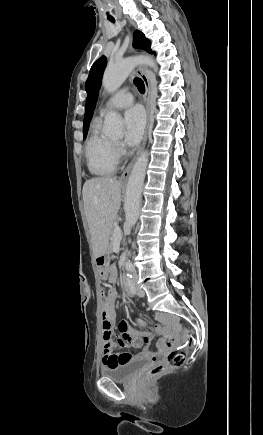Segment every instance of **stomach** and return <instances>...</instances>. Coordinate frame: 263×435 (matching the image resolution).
<instances>
[{
	"label": "stomach",
	"mask_w": 263,
	"mask_h": 435,
	"mask_svg": "<svg viewBox=\"0 0 263 435\" xmlns=\"http://www.w3.org/2000/svg\"><path fill=\"white\" fill-rule=\"evenodd\" d=\"M109 255L107 253V251H105L103 254L99 255L96 257V264H97V269L99 271V275L104 278L106 276V268L109 265Z\"/></svg>",
	"instance_id": "obj_1"
}]
</instances>
